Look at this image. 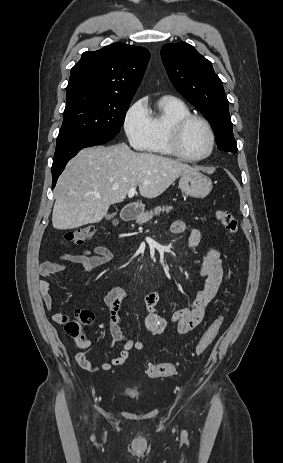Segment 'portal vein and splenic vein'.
Wrapping results in <instances>:
<instances>
[{
  "mask_svg": "<svg viewBox=\"0 0 283 463\" xmlns=\"http://www.w3.org/2000/svg\"><path fill=\"white\" fill-rule=\"evenodd\" d=\"M136 193V187H132L128 192V197L132 198Z\"/></svg>",
  "mask_w": 283,
  "mask_h": 463,
  "instance_id": "portal-vein-and-splenic-vein-1",
  "label": "portal vein and splenic vein"
}]
</instances>
